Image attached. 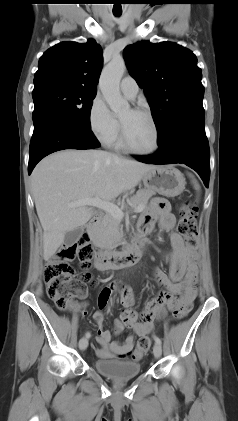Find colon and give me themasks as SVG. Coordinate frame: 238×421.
<instances>
[{"label":"colon","mask_w":238,"mask_h":421,"mask_svg":"<svg viewBox=\"0 0 238 421\" xmlns=\"http://www.w3.org/2000/svg\"><path fill=\"white\" fill-rule=\"evenodd\" d=\"M197 207L194 203L185 202L180 210V219L177 230L184 237L188 246L194 248L198 243L196 226ZM94 250L91 244L83 238L73 245H63L52 256L45 266V282L49 298L58 309L68 311L75 308L76 296L85 294L87 284H94L91 275L87 272L90 268ZM78 257L83 272L76 277L70 261ZM191 310V305L178 303L173 309L172 317L178 321L185 318ZM149 336H141L132 354V359L140 360L151 346Z\"/></svg>","instance_id":"obj_1"}]
</instances>
